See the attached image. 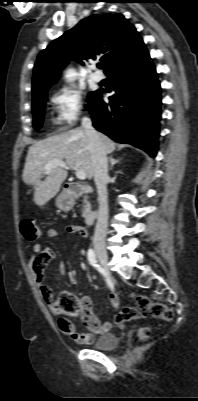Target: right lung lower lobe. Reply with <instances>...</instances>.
Listing matches in <instances>:
<instances>
[{"label": "right lung lower lobe", "mask_w": 198, "mask_h": 401, "mask_svg": "<svg viewBox=\"0 0 198 401\" xmlns=\"http://www.w3.org/2000/svg\"><path fill=\"white\" fill-rule=\"evenodd\" d=\"M113 80L109 103L103 90L88 111L93 126L119 143H129L154 157L157 153L161 89L155 66L144 44L113 66L107 73ZM108 92V90H105Z\"/></svg>", "instance_id": "1"}]
</instances>
